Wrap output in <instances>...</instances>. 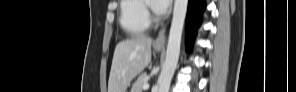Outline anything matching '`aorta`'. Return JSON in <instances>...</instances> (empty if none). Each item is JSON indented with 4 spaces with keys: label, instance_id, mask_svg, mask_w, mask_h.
<instances>
[{
    "label": "aorta",
    "instance_id": "1",
    "mask_svg": "<svg viewBox=\"0 0 296 92\" xmlns=\"http://www.w3.org/2000/svg\"><path fill=\"white\" fill-rule=\"evenodd\" d=\"M188 0H175L173 18L169 33L166 60L159 76V92H169L170 83L176 69Z\"/></svg>",
    "mask_w": 296,
    "mask_h": 92
}]
</instances>
